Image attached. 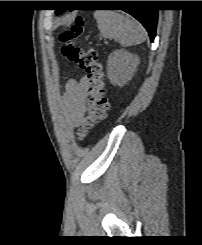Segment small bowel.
<instances>
[{
	"label": "small bowel",
	"mask_w": 202,
	"mask_h": 245,
	"mask_svg": "<svg viewBox=\"0 0 202 245\" xmlns=\"http://www.w3.org/2000/svg\"><path fill=\"white\" fill-rule=\"evenodd\" d=\"M88 87L87 77H82L79 81L70 79L65 85L64 100L70 108H81L86 96ZM78 126V122L72 123V127Z\"/></svg>",
	"instance_id": "obj_1"
}]
</instances>
